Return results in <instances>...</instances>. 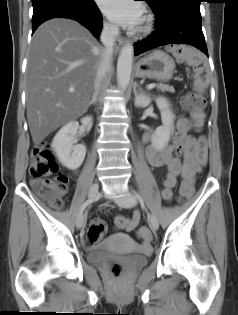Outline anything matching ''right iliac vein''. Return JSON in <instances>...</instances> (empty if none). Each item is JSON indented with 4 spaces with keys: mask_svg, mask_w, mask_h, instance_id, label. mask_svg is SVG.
<instances>
[{
    "mask_svg": "<svg viewBox=\"0 0 238 315\" xmlns=\"http://www.w3.org/2000/svg\"><path fill=\"white\" fill-rule=\"evenodd\" d=\"M99 194V185L97 183H94L91 185L90 189H89V192H88V197L89 199H95ZM84 215L83 214H80L77 219H76V227L78 229H80L83 224H84Z\"/></svg>",
    "mask_w": 238,
    "mask_h": 315,
    "instance_id": "63e3f726",
    "label": "right iliac vein"
}]
</instances>
